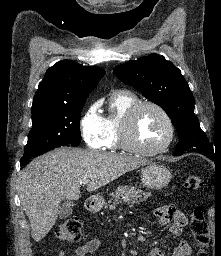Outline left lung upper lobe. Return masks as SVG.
Masks as SVG:
<instances>
[{"mask_svg": "<svg viewBox=\"0 0 221 256\" xmlns=\"http://www.w3.org/2000/svg\"><path fill=\"white\" fill-rule=\"evenodd\" d=\"M114 74L162 107L172 119L180 139L176 151L198 149L214 153L194 114V100L181 71L159 54L116 66Z\"/></svg>", "mask_w": 221, "mask_h": 256, "instance_id": "1", "label": "left lung upper lobe"}]
</instances>
